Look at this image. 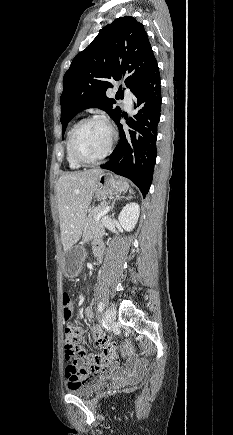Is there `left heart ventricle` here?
Returning <instances> with one entry per match:
<instances>
[{"label": "left heart ventricle", "mask_w": 233, "mask_h": 435, "mask_svg": "<svg viewBox=\"0 0 233 435\" xmlns=\"http://www.w3.org/2000/svg\"><path fill=\"white\" fill-rule=\"evenodd\" d=\"M109 138V130L104 124L86 123L77 133V149L84 159L95 160L105 152Z\"/></svg>", "instance_id": "b2bd125f"}]
</instances>
